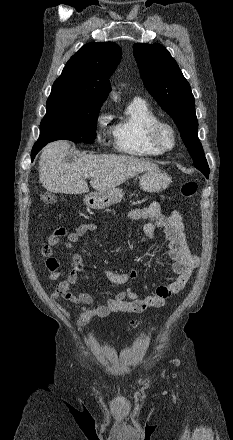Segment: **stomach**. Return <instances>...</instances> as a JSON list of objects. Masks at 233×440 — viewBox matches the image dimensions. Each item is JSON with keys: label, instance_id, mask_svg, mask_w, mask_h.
Instances as JSON below:
<instances>
[{"label": "stomach", "instance_id": "0dacf381", "mask_svg": "<svg viewBox=\"0 0 233 440\" xmlns=\"http://www.w3.org/2000/svg\"><path fill=\"white\" fill-rule=\"evenodd\" d=\"M171 183L169 175L160 170L145 171L139 176L140 187L147 192H160ZM124 197L121 188H112L107 191L89 193L84 198V203L91 209H104L122 201Z\"/></svg>", "mask_w": 233, "mask_h": 440}]
</instances>
